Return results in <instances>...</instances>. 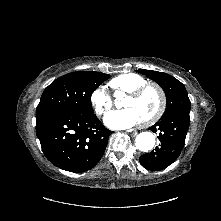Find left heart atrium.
Masks as SVG:
<instances>
[{
    "instance_id": "obj_1",
    "label": "left heart atrium",
    "mask_w": 221,
    "mask_h": 221,
    "mask_svg": "<svg viewBox=\"0 0 221 221\" xmlns=\"http://www.w3.org/2000/svg\"><path fill=\"white\" fill-rule=\"evenodd\" d=\"M104 122L110 128L125 129L137 125L141 122V119L134 110L125 108L123 110L109 112L105 116Z\"/></svg>"
}]
</instances>
